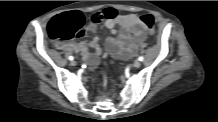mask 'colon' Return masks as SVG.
<instances>
[{
	"instance_id": "obj_1",
	"label": "colon",
	"mask_w": 218,
	"mask_h": 122,
	"mask_svg": "<svg viewBox=\"0 0 218 122\" xmlns=\"http://www.w3.org/2000/svg\"><path fill=\"white\" fill-rule=\"evenodd\" d=\"M144 25L151 29L155 19L151 14L141 17ZM85 18L79 11H70L54 17L48 26V33L51 39L63 43L75 37L82 36Z\"/></svg>"
}]
</instances>
